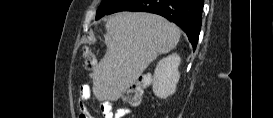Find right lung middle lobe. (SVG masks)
I'll return each mask as SVG.
<instances>
[{
  "mask_svg": "<svg viewBox=\"0 0 273 118\" xmlns=\"http://www.w3.org/2000/svg\"><path fill=\"white\" fill-rule=\"evenodd\" d=\"M124 0H102L97 12L96 20L104 15L111 14L112 11L123 2Z\"/></svg>",
  "mask_w": 273,
  "mask_h": 118,
  "instance_id": "dd1d6c3e",
  "label": "right lung middle lobe"
}]
</instances>
